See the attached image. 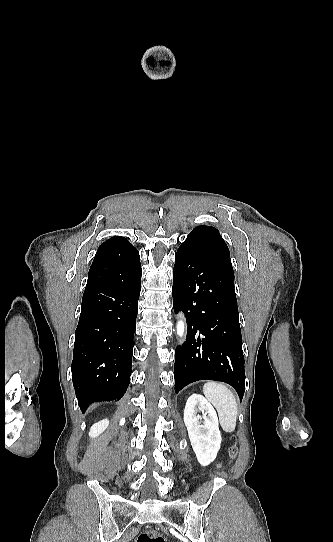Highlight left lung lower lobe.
Returning a JSON list of instances; mask_svg holds the SVG:
<instances>
[{"instance_id": "left-lung-lower-lobe-1", "label": "left lung lower lobe", "mask_w": 333, "mask_h": 542, "mask_svg": "<svg viewBox=\"0 0 333 542\" xmlns=\"http://www.w3.org/2000/svg\"><path fill=\"white\" fill-rule=\"evenodd\" d=\"M172 294L174 311H183L188 325L186 341L175 350V392L198 380H216L230 384L241 400L245 371L232 264L183 242L175 255Z\"/></svg>"}]
</instances>
